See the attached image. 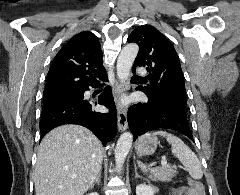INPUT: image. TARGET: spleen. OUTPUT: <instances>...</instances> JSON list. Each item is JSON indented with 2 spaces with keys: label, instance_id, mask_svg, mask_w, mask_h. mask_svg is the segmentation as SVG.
<instances>
[{
  "label": "spleen",
  "instance_id": "spleen-1",
  "mask_svg": "<svg viewBox=\"0 0 240 195\" xmlns=\"http://www.w3.org/2000/svg\"><path fill=\"white\" fill-rule=\"evenodd\" d=\"M148 135H163L166 137L168 143H171V149L173 155H176L178 159H180L181 163H183L184 167H186L187 171H189V175L193 177V179H201L203 177L202 165L194 151L180 139L177 135H173V133H167V131H153V133H144L141 135L142 137H148ZM139 167L146 171L147 165H144L142 161H138Z\"/></svg>",
  "mask_w": 240,
  "mask_h": 195
}]
</instances>
